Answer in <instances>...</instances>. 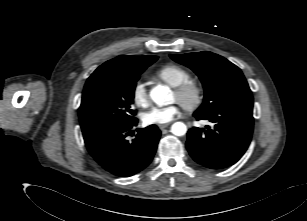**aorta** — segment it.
Segmentation results:
<instances>
[{
    "mask_svg": "<svg viewBox=\"0 0 307 221\" xmlns=\"http://www.w3.org/2000/svg\"><path fill=\"white\" fill-rule=\"evenodd\" d=\"M150 97L158 106H164L171 101V91L168 86L158 85L150 91ZM186 131L187 127L182 122H176L171 127V132L176 136H182Z\"/></svg>",
    "mask_w": 307,
    "mask_h": 221,
    "instance_id": "aorta-1",
    "label": "aorta"
}]
</instances>
